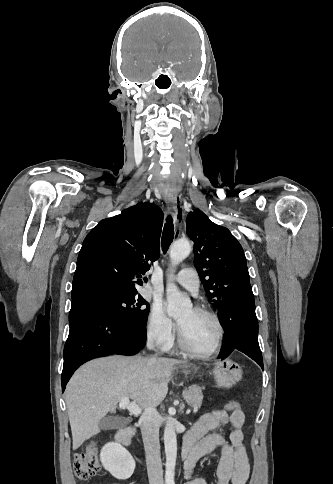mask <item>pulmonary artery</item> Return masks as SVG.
<instances>
[{"label":"pulmonary artery","mask_w":333,"mask_h":484,"mask_svg":"<svg viewBox=\"0 0 333 484\" xmlns=\"http://www.w3.org/2000/svg\"><path fill=\"white\" fill-rule=\"evenodd\" d=\"M173 280L192 293H196L200 286L198 275L192 268L182 269Z\"/></svg>","instance_id":"obj_1"}]
</instances>
